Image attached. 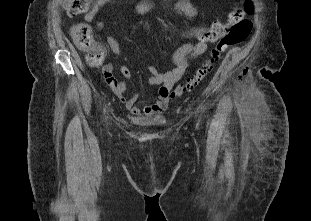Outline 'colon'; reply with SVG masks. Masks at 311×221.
Returning <instances> with one entry per match:
<instances>
[{"label":"colon","mask_w":311,"mask_h":221,"mask_svg":"<svg viewBox=\"0 0 311 221\" xmlns=\"http://www.w3.org/2000/svg\"><path fill=\"white\" fill-rule=\"evenodd\" d=\"M92 0H68L60 1L59 7L63 8L64 12H70L72 17H86L87 16V5L91 4ZM246 12H248V17H255L256 11L251 10L252 4L250 0H247ZM241 17L239 10L232 11L229 14L228 20L226 22H214L210 28L200 37V40L203 42L213 41L214 34H219V40L216 47L211 52V57L207 59L203 64L198 68V70L190 77L186 82L177 85L170 94L171 98L183 95L197 85H199L211 72L213 64L218 61L220 53L227 47H233L240 44L245 38L250 34V21H241L237 24L232 30V33L229 36H224V31L227 30L228 24H231L232 21L236 18ZM70 33L72 39L81 51H85L89 54L88 61L90 65L94 68H100L103 66L106 59V50L103 47H98L95 45L94 36L91 26L88 23H78L74 24L70 28ZM106 76H108L109 71H103Z\"/></svg>","instance_id":"1"}]
</instances>
